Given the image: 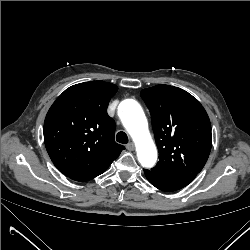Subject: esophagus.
I'll return each mask as SVG.
<instances>
[{
  "label": "esophagus",
  "instance_id": "esophagus-1",
  "mask_svg": "<svg viewBox=\"0 0 250 250\" xmlns=\"http://www.w3.org/2000/svg\"><path fill=\"white\" fill-rule=\"evenodd\" d=\"M128 151H133L135 149V145L133 142H130L126 145Z\"/></svg>",
  "mask_w": 250,
  "mask_h": 250
}]
</instances>
